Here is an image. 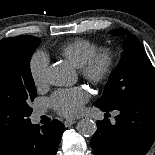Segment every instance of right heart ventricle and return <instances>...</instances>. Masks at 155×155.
I'll use <instances>...</instances> for the list:
<instances>
[{
  "mask_svg": "<svg viewBox=\"0 0 155 155\" xmlns=\"http://www.w3.org/2000/svg\"><path fill=\"white\" fill-rule=\"evenodd\" d=\"M98 47L86 39H75L60 48L61 54L74 66L80 68L96 51Z\"/></svg>",
  "mask_w": 155,
  "mask_h": 155,
  "instance_id": "right-heart-ventricle-1",
  "label": "right heart ventricle"
}]
</instances>
